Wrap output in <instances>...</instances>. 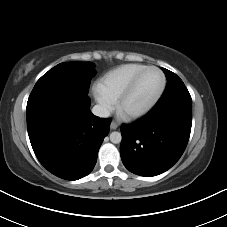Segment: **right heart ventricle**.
Listing matches in <instances>:
<instances>
[{"label":"right heart ventricle","mask_w":227,"mask_h":227,"mask_svg":"<svg viewBox=\"0 0 227 227\" xmlns=\"http://www.w3.org/2000/svg\"><path fill=\"white\" fill-rule=\"evenodd\" d=\"M145 67L146 65L139 63L118 66L102 77L99 89L115 101L121 96L133 78Z\"/></svg>","instance_id":"right-heart-ventricle-1"}]
</instances>
